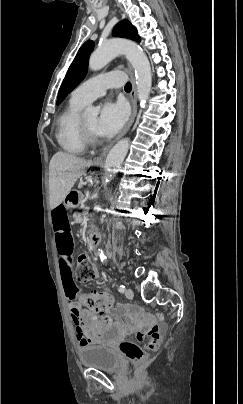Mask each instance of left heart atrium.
<instances>
[{"label": "left heart atrium", "mask_w": 243, "mask_h": 404, "mask_svg": "<svg viewBox=\"0 0 243 404\" xmlns=\"http://www.w3.org/2000/svg\"><path fill=\"white\" fill-rule=\"evenodd\" d=\"M126 120L124 107L112 100H106L96 121L95 134L101 138H110L123 126Z\"/></svg>", "instance_id": "39dd6f15"}]
</instances>
